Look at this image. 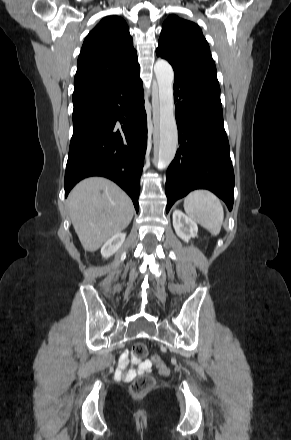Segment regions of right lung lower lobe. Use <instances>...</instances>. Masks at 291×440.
I'll return each instance as SVG.
<instances>
[{
	"label": "right lung lower lobe",
	"mask_w": 291,
	"mask_h": 440,
	"mask_svg": "<svg viewBox=\"0 0 291 440\" xmlns=\"http://www.w3.org/2000/svg\"><path fill=\"white\" fill-rule=\"evenodd\" d=\"M73 136L65 196L81 179L103 176L131 197L138 212L147 146V117L139 70L114 83L74 90Z\"/></svg>",
	"instance_id": "right-lung-lower-lobe-1"
}]
</instances>
